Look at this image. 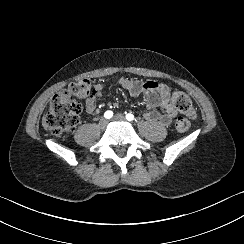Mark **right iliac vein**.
<instances>
[{"instance_id":"obj_1","label":"right iliac vein","mask_w":244,"mask_h":244,"mask_svg":"<svg viewBox=\"0 0 244 244\" xmlns=\"http://www.w3.org/2000/svg\"><path fill=\"white\" fill-rule=\"evenodd\" d=\"M107 125H108V120L105 119V118H102V119L100 120V122H99V126H100L102 129H104V128L107 127Z\"/></svg>"}]
</instances>
